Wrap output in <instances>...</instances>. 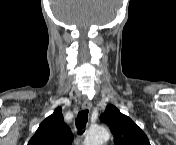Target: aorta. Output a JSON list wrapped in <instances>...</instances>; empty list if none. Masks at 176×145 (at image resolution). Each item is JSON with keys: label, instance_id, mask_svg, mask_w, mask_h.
Listing matches in <instances>:
<instances>
[{"label": "aorta", "instance_id": "obj_1", "mask_svg": "<svg viewBox=\"0 0 176 145\" xmlns=\"http://www.w3.org/2000/svg\"><path fill=\"white\" fill-rule=\"evenodd\" d=\"M109 140V132L103 126H94L88 130L86 145H103Z\"/></svg>", "mask_w": 176, "mask_h": 145}]
</instances>
